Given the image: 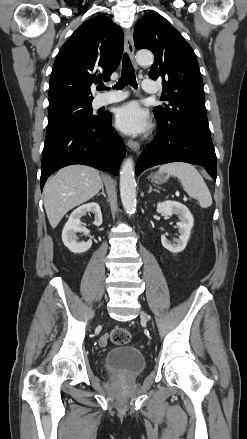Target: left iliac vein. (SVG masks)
Returning a JSON list of instances; mask_svg holds the SVG:
<instances>
[{"label":"left iliac vein","instance_id":"obj_1","mask_svg":"<svg viewBox=\"0 0 247 439\" xmlns=\"http://www.w3.org/2000/svg\"><path fill=\"white\" fill-rule=\"evenodd\" d=\"M140 315H141L142 319L147 320V321L150 320V316L146 312L141 311Z\"/></svg>","mask_w":247,"mask_h":439}]
</instances>
